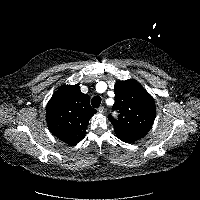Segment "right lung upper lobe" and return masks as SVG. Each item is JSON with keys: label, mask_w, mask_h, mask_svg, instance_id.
I'll return each instance as SVG.
<instances>
[{"label": "right lung upper lobe", "mask_w": 200, "mask_h": 200, "mask_svg": "<svg viewBox=\"0 0 200 200\" xmlns=\"http://www.w3.org/2000/svg\"><path fill=\"white\" fill-rule=\"evenodd\" d=\"M95 113L89 95L81 92L79 84L59 88L46 107L50 131L70 145L77 144L84 137L89 119Z\"/></svg>", "instance_id": "1"}]
</instances>
